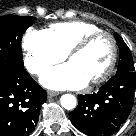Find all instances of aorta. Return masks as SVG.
I'll return each mask as SVG.
<instances>
[{"label":"aorta","instance_id":"obj_1","mask_svg":"<svg viewBox=\"0 0 136 136\" xmlns=\"http://www.w3.org/2000/svg\"><path fill=\"white\" fill-rule=\"evenodd\" d=\"M61 106L67 110H72L76 107V98L72 94H64L60 99Z\"/></svg>","mask_w":136,"mask_h":136}]
</instances>
